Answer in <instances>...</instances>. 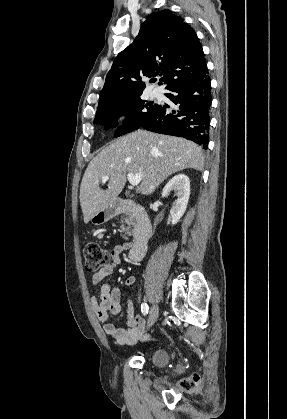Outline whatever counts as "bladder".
Listing matches in <instances>:
<instances>
[{"instance_id":"bladder-1","label":"bladder","mask_w":287,"mask_h":419,"mask_svg":"<svg viewBox=\"0 0 287 419\" xmlns=\"http://www.w3.org/2000/svg\"><path fill=\"white\" fill-rule=\"evenodd\" d=\"M151 360L158 365H165L169 360V356L165 349L157 348L152 352Z\"/></svg>"}]
</instances>
